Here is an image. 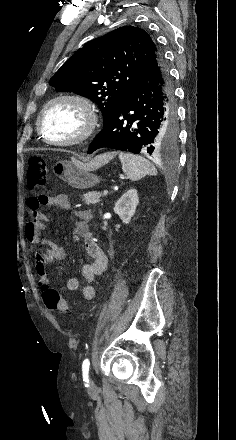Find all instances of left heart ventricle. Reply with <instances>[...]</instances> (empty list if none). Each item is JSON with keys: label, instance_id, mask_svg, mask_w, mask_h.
<instances>
[{"label": "left heart ventricle", "instance_id": "left-heart-ventricle-1", "mask_svg": "<svg viewBox=\"0 0 236 440\" xmlns=\"http://www.w3.org/2000/svg\"><path fill=\"white\" fill-rule=\"evenodd\" d=\"M45 135L53 140H67L77 136L83 128L80 111L68 103H58L50 107L44 119Z\"/></svg>", "mask_w": 236, "mask_h": 440}]
</instances>
